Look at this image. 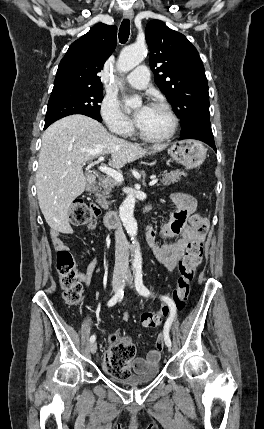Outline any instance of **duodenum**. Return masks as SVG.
<instances>
[{
    "label": "duodenum",
    "instance_id": "410a0bca",
    "mask_svg": "<svg viewBox=\"0 0 264 429\" xmlns=\"http://www.w3.org/2000/svg\"><path fill=\"white\" fill-rule=\"evenodd\" d=\"M96 182V177L94 175H91L88 177V185L91 187ZM149 210V206H146L144 208V212H147ZM118 213L116 211H108L103 218L104 225L106 227L112 228L115 227L118 224Z\"/></svg>",
    "mask_w": 264,
    "mask_h": 429
}]
</instances>
